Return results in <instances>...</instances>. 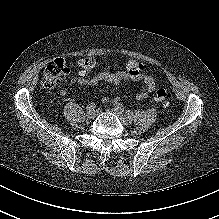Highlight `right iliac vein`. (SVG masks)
<instances>
[{
  "label": "right iliac vein",
  "instance_id": "right-iliac-vein-1",
  "mask_svg": "<svg viewBox=\"0 0 219 219\" xmlns=\"http://www.w3.org/2000/svg\"><path fill=\"white\" fill-rule=\"evenodd\" d=\"M86 116H87L88 119H94L95 116H96V114H95L94 111H88V112L86 113Z\"/></svg>",
  "mask_w": 219,
  "mask_h": 219
}]
</instances>
